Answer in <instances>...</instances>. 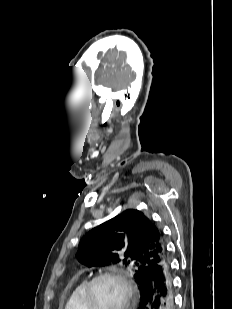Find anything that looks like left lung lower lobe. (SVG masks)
<instances>
[{"instance_id":"1","label":"left lung lower lobe","mask_w":232,"mask_h":309,"mask_svg":"<svg viewBox=\"0 0 232 309\" xmlns=\"http://www.w3.org/2000/svg\"><path fill=\"white\" fill-rule=\"evenodd\" d=\"M139 290L138 309H174L173 277L168 257L149 270Z\"/></svg>"}]
</instances>
